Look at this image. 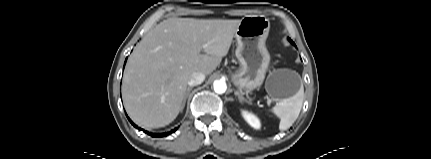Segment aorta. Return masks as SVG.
<instances>
[{
  "label": "aorta",
  "mask_w": 431,
  "mask_h": 159,
  "mask_svg": "<svg viewBox=\"0 0 431 159\" xmlns=\"http://www.w3.org/2000/svg\"><path fill=\"white\" fill-rule=\"evenodd\" d=\"M214 91L218 94H223L227 90V85L224 80H215L213 83Z\"/></svg>",
  "instance_id": "1"
}]
</instances>
